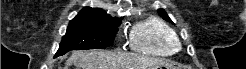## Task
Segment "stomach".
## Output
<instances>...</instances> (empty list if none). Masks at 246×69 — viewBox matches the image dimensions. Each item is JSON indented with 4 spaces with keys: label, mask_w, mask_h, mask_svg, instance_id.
Instances as JSON below:
<instances>
[{
    "label": "stomach",
    "mask_w": 246,
    "mask_h": 69,
    "mask_svg": "<svg viewBox=\"0 0 246 69\" xmlns=\"http://www.w3.org/2000/svg\"><path fill=\"white\" fill-rule=\"evenodd\" d=\"M149 69H178L176 67H173L171 65H167V64H162V65H155L150 67Z\"/></svg>",
    "instance_id": "stomach-1"
}]
</instances>
